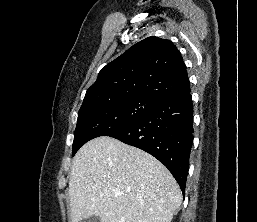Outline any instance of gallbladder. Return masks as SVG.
<instances>
[{
    "mask_svg": "<svg viewBox=\"0 0 257 222\" xmlns=\"http://www.w3.org/2000/svg\"><path fill=\"white\" fill-rule=\"evenodd\" d=\"M80 222H101L100 217L92 215L86 219H82Z\"/></svg>",
    "mask_w": 257,
    "mask_h": 222,
    "instance_id": "1",
    "label": "gallbladder"
}]
</instances>
